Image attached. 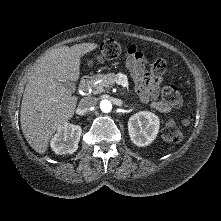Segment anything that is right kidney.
I'll use <instances>...</instances> for the list:
<instances>
[{
  "label": "right kidney",
  "mask_w": 221,
  "mask_h": 221,
  "mask_svg": "<svg viewBox=\"0 0 221 221\" xmlns=\"http://www.w3.org/2000/svg\"><path fill=\"white\" fill-rule=\"evenodd\" d=\"M82 129L79 125L65 123L51 139V148L56 154H73L78 149Z\"/></svg>",
  "instance_id": "right-kidney-1"
}]
</instances>
